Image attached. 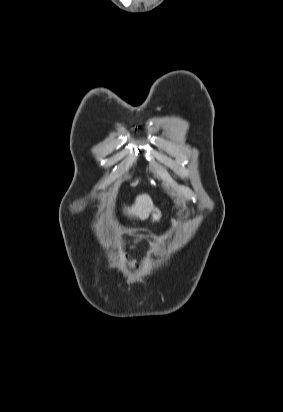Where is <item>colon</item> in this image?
<instances>
[{"label":"colon","mask_w":283,"mask_h":412,"mask_svg":"<svg viewBox=\"0 0 283 412\" xmlns=\"http://www.w3.org/2000/svg\"><path fill=\"white\" fill-rule=\"evenodd\" d=\"M128 265H129L130 268H132V269L139 267L138 263L135 262V261H128Z\"/></svg>","instance_id":"5ec220e1"}]
</instances>
